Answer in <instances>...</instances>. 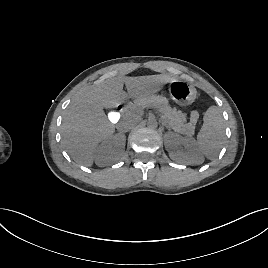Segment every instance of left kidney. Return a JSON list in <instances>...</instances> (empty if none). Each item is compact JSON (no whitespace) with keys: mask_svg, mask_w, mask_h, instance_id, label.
<instances>
[{"mask_svg":"<svg viewBox=\"0 0 268 268\" xmlns=\"http://www.w3.org/2000/svg\"><path fill=\"white\" fill-rule=\"evenodd\" d=\"M185 147V150L182 149ZM165 148L169 153V157L187 165L201 164L204 161L202 154L193 138L181 136L175 132H167L165 134Z\"/></svg>","mask_w":268,"mask_h":268,"instance_id":"obj_1","label":"left kidney"}]
</instances>
